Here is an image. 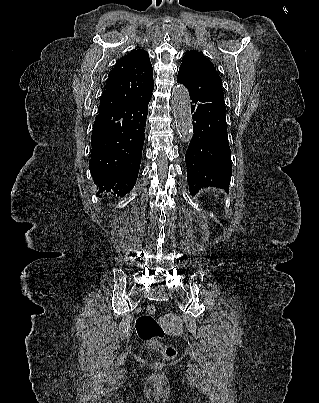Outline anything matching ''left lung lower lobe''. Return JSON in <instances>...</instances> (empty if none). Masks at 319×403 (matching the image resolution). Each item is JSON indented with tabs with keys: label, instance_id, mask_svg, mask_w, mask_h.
<instances>
[{
	"label": "left lung lower lobe",
	"instance_id": "left-lung-lower-lobe-1",
	"mask_svg": "<svg viewBox=\"0 0 319 403\" xmlns=\"http://www.w3.org/2000/svg\"><path fill=\"white\" fill-rule=\"evenodd\" d=\"M177 82L188 89L192 100L194 135L185 156L189 191L196 194L204 187L228 191L232 168L224 92L216 86L195 81L181 70Z\"/></svg>",
	"mask_w": 319,
	"mask_h": 403
}]
</instances>
